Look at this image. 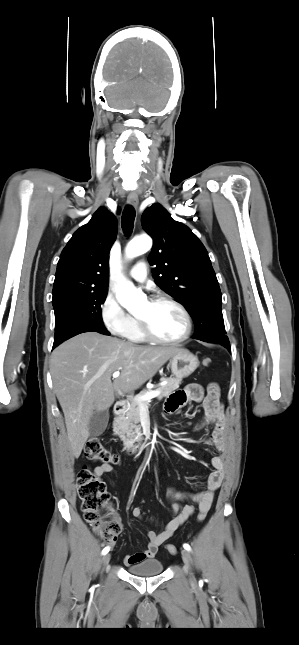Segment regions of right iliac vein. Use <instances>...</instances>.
I'll list each match as a JSON object with an SVG mask.
<instances>
[{
	"label": "right iliac vein",
	"instance_id": "1",
	"mask_svg": "<svg viewBox=\"0 0 299 645\" xmlns=\"http://www.w3.org/2000/svg\"><path fill=\"white\" fill-rule=\"evenodd\" d=\"M111 555L110 554H105L102 558V564L103 566H106L109 561H110Z\"/></svg>",
	"mask_w": 299,
	"mask_h": 645
}]
</instances>
